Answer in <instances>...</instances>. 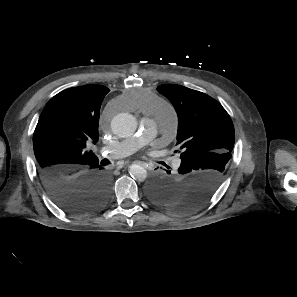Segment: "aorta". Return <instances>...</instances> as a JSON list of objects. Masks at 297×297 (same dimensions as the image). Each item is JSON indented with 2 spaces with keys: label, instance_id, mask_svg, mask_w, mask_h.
Returning a JSON list of instances; mask_svg holds the SVG:
<instances>
[{
  "label": "aorta",
  "instance_id": "1",
  "mask_svg": "<svg viewBox=\"0 0 297 297\" xmlns=\"http://www.w3.org/2000/svg\"><path fill=\"white\" fill-rule=\"evenodd\" d=\"M111 128L114 134L119 137L126 138L135 132L137 128V122L129 113H120L117 114L111 121ZM130 175L138 180L143 182L147 178V171L144 167L138 164H133L129 169Z\"/></svg>",
  "mask_w": 297,
  "mask_h": 297
}]
</instances>
